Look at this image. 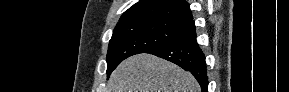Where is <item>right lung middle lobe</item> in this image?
<instances>
[{
	"label": "right lung middle lobe",
	"instance_id": "1",
	"mask_svg": "<svg viewBox=\"0 0 289 92\" xmlns=\"http://www.w3.org/2000/svg\"><path fill=\"white\" fill-rule=\"evenodd\" d=\"M189 30L187 25L154 19L118 22L109 42L107 76L127 57L169 44L186 35Z\"/></svg>",
	"mask_w": 289,
	"mask_h": 92
}]
</instances>
